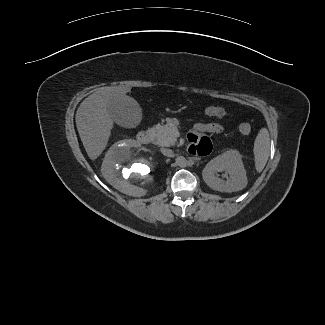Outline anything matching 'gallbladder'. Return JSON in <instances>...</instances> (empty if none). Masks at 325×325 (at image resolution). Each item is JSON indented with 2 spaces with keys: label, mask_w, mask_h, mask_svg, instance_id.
<instances>
[{
  "label": "gallbladder",
  "mask_w": 325,
  "mask_h": 325,
  "mask_svg": "<svg viewBox=\"0 0 325 325\" xmlns=\"http://www.w3.org/2000/svg\"><path fill=\"white\" fill-rule=\"evenodd\" d=\"M107 109L113 121L125 128L137 126L142 118L139 104L131 98H117L110 102Z\"/></svg>",
  "instance_id": "1"
}]
</instances>
